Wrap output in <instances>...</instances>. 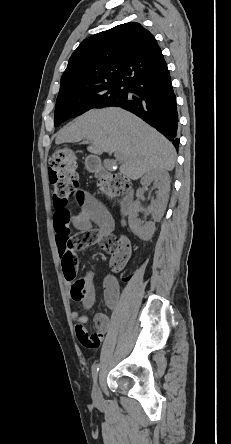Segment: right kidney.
<instances>
[{
	"label": "right kidney",
	"mask_w": 231,
	"mask_h": 444,
	"mask_svg": "<svg viewBox=\"0 0 231 444\" xmlns=\"http://www.w3.org/2000/svg\"><path fill=\"white\" fill-rule=\"evenodd\" d=\"M150 182H154V186L158 188L156 200H152L149 211L153 215V221L144 222L138 218L140 211V197L142 189H138L137 200L133 203L129 213V227L132 232L142 240H149L155 232V222H159L164 215L170 192V177L164 170H154L148 172L141 179V185L145 186Z\"/></svg>",
	"instance_id": "ca27d5eb"
}]
</instances>
